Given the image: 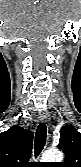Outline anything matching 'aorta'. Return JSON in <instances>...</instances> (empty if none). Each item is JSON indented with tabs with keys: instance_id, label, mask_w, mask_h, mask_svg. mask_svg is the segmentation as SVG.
<instances>
[{
	"instance_id": "aorta-1",
	"label": "aorta",
	"mask_w": 81,
	"mask_h": 167,
	"mask_svg": "<svg viewBox=\"0 0 81 167\" xmlns=\"http://www.w3.org/2000/svg\"><path fill=\"white\" fill-rule=\"evenodd\" d=\"M42 162H61L63 160V153L58 150H48L43 153Z\"/></svg>"
}]
</instances>
